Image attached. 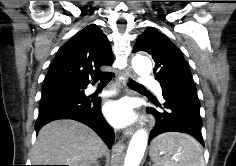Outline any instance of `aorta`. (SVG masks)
<instances>
[{
  "instance_id": "aorta-1",
  "label": "aorta",
  "mask_w": 236,
  "mask_h": 166,
  "mask_svg": "<svg viewBox=\"0 0 236 166\" xmlns=\"http://www.w3.org/2000/svg\"><path fill=\"white\" fill-rule=\"evenodd\" d=\"M134 71L141 76L149 75L152 71L151 61L144 56L136 55L132 59ZM148 142V134L145 129L138 130L132 137L123 166H139Z\"/></svg>"
}]
</instances>
